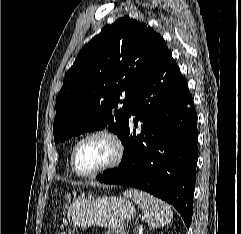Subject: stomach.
<instances>
[{
    "mask_svg": "<svg viewBox=\"0 0 241 234\" xmlns=\"http://www.w3.org/2000/svg\"><path fill=\"white\" fill-rule=\"evenodd\" d=\"M135 212L133 204L123 197L89 196L73 201L69 207L68 219L74 227L101 225L121 229L134 218Z\"/></svg>",
    "mask_w": 241,
    "mask_h": 234,
    "instance_id": "1",
    "label": "stomach"
}]
</instances>
